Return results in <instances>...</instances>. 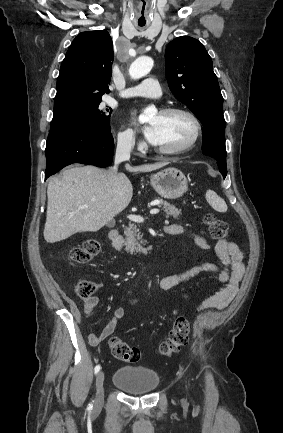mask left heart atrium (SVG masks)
I'll return each mask as SVG.
<instances>
[{"instance_id":"obj_1","label":"left heart atrium","mask_w":283,"mask_h":433,"mask_svg":"<svg viewBox=\"0 0 283 433\" xmlns=\"http://www.w3.org/2000/svg\"><path fill=\"white\" fill-rule=\"evenodd\" d=\"M142 133L148 143L153 147L157 148L159 145V130L157 125L151 124L142 129Z\"/></svg>"}]
</instances>
